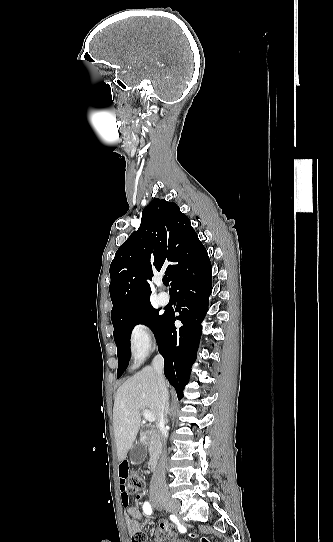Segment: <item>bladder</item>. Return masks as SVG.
<instances>
[{
  "label": "bladder",
  "mask_w": 333,
  "mask_h": 542,
  "mask_svg": "<svg viewBox=\"0 0 333 542\" xmlns=\"http://www.w3.org/2000/svg\"><path fill=\"white\" fill-rule=\"evenodd\" d=\"M172 542H192V541L189 540V539H184V540H181V539H174Z\"/></svg>",
  "instance_id": "bladder-1"
}]
</instances>
